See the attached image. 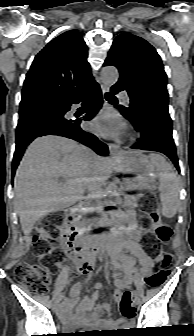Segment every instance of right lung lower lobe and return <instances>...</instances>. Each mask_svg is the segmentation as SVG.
Returning a JSON list of instances; mask_svg holds the SVG:
<instances>
[{
  "instance_id": "obj_1",
  "label": "right lung lower lobe",
  "mask_w": 194,
  "mask_h": 336,
  "mask_svg": "<svg viewBox=\"0 0 194 336\" xmlns=\"http://www.w3.org/2000/svg\"><path fill=\"white\" fill-rule=\"evenodd\" d=\"M90 104L89 112L82 119H69L65 117L72 104ZM103 103L102 93L98 83L94 80L84 85L65 100L47 111L35 115L19 118L16 132V149L13 157L12 179L16 168L24 154L25 148L35 138L44 135H59L76 140L92 148L102 156L108 155V147L98 138L80 127L82 120H91Z\"/></svg>"
}]
</instances>
